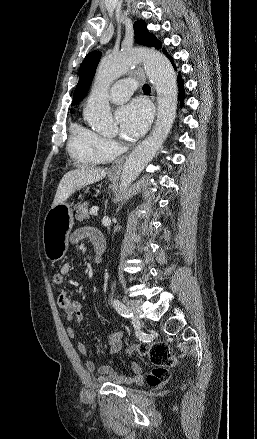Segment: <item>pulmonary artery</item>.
I'll use <instances>...</instances> for the list:
<instances>
[{
  "label": "pulmonary artery",
  "instance_id": "pulmonary-artery-1",
  "mask_svg": "<svg viewBox=\"0 0 257 439\" xmlns=\"http://www.w3.org/2000/svg\"><path fill=\"white\" fill-rule=\"evenodd\" d=\"M136 87L137 82L135 79H122L112 86L109 98L113 103H123L131 96Z\"/></svg>",
  "mask_w": 257,
  "mask_h": 439
}]
</instances>
